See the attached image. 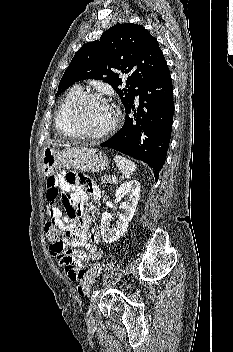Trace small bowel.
I'll list each match as a JSON object with an SVG mask.
<instances>
[{
  "label": "small bowel",
  "mask_w": 233,
  "mask_h": 352,
  "mask_svg": "<svg viewBox=\"0 0 233 352\" xmlns=\"http://www.w3.org/2000/svg\"><path fill=\"white\" fill-rule=\"evenodd\" d=\"M59 196L65 213L55 205ZM90 198L99 199V189L91 180L74 171H63L47 179L48 222L61 228L67 237L63 247L52 243L50 252L62 266L64 274L73 281L77 280V273L85 268L88 259L99 260L103 253L97 247L100 243L99 230L90 227L89 217L84 210ZM67 245L70 249L65 250ZM78 248H85V251Z\"/></svg>",
  "instance_id": "1"
}]
</instances>
